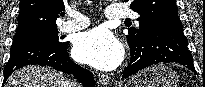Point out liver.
<instances>
[{
	"label": "liver",
	"mask_w": 205,
	"mask_h": 87,
	"mask_svg": "<svg viewBox=\"0 0 205 87\" xmlns=\"http://www.w3.org/2000/svg\"><path fill=\"white\" fill-rule=\"evenodd\" d=\"M65 77L50 67L26 66L14 72L4 87H70Z\"/></svg>",
	"instance_id": "1"
}]
</instances>
